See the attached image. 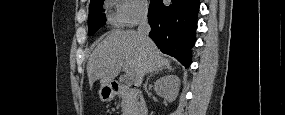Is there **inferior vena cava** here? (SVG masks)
I'll return each instance as SVG.
<instances>
[{
	"label": "inferior vena cava",
	"mask_w": 285,
	"mask_h": 115,
	"mask_svg": "<svg viewBox=\"0 0 285 115\" xmlns=\"http://www.w3.org/2000/svg\"><path fill=\"white\" fill-rule=\"evenodd\" d=\"M150 30L151 28L148 23L147 16L145 15L140 19L138 29H137V34L143 43H146L150 40L149 38Z\"/></svg>",
	"instance_id": "inferior-vena-cava-1"
}]
</instances>
